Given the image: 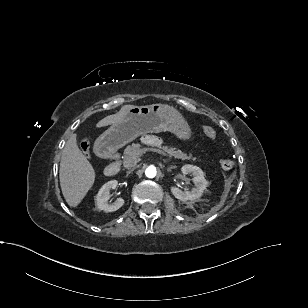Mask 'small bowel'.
I'll list each match as a JSON object with an SVG mask.
<instances>
[{"label":"small bowel","mask_w":308,"mask_h":308,"mask_svg":"<svg viewBox=\"0 0 308 308\" xmlns=\"http://www.w3.org/2000/svg\"><path fill=\"white\" fill-rule=\"evenodd\" d=\"M143 142L147 144L157 145L160 144V139L154 135H146L143 137Z\"/></svg>","instance_id":"c3829d8e"}]
</instances>
